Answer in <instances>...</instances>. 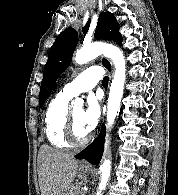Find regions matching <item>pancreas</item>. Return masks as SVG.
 <instances>
[{
	"instance_id": "cf45deb5",
	"label": "pancreas",
	"mask_w": 178,
	"mask_h": 195,
	"mask_svg": "<svg viewBox=\"0 0 178 195\" xmlns=\"http://www.w3.org/2000/svg\"><path fill=\"white\" fill-rule=\"evenodd\" d=\"M79 195H85V194H84V192H80V194H79Z\"/></svg>"
}]
</instances>
